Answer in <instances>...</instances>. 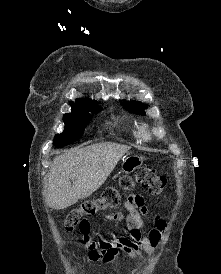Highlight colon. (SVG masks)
<instances>
[{
    "label": "colon",
    "instance_id": "obj_1",
    "mask_svg": "<svg viewBox=\"0 0 221 274\" xmlns=\"http://www.w3.org/2000/svg\"><path fill=\"white\" fill-rule=\"evenodd\" d=\"M136 184L153 195H159L165 188L166 180L163 176L157 174L154 169L140 167L135 170L132 175H125L120 179V189L114 187L107 188L100 197L87 200L78 208L73 209L66 217V230L68 232H74L85 217L94 215L98 211L114 207L120 201L121 191H129Z\"/></svg>",
    "mask_w": 221,
    "mask_h": 274
}]
</instances>
